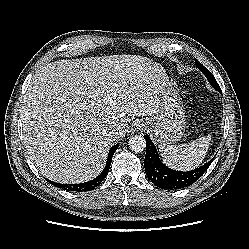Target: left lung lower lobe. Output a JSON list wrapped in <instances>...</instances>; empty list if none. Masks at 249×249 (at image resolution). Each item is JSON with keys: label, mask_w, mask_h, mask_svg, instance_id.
Returning a JSON list of instances; mask_svg holds the SVG:
<instances>
[{"label": "left lung lower lobe", "mask_w": 249, "mask_h": 249, "mask_svg": "<svg viewBox=\"0 0 249 249\" xmlns=\"http://www.w3.org/2000/svg\"><path fill=\"white\" fill-rule=\"evenodd\" d=\"M144 138L146 140V157L144 160L146 175L159 188L176 190L188 187L204 174L213 161L211 160L188 172L175 171L161 162L156 147L149 136L144 135Z\"/></svg>", "instance_id": "left-lung-lower-lobe-1"}]
</instances>
